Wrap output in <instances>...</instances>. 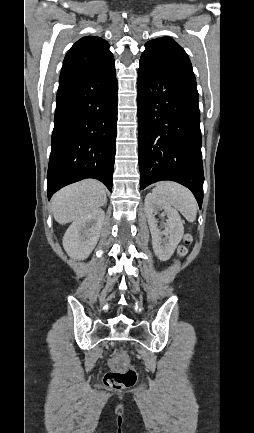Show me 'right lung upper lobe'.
<instances>
[{
  "label": "right lung upper lobe",
  "instance_id": "1",
  "mask_svg": "<svg viewBox=\"0 0 254 433\" xmlns=\"http://www.w3.org/2000/svg\"><path fill=\"white\" fill-rule=\"evenodd\" d=\"M114 62L107 41L87 36L78 40L67 52L60 77L103 69Z\"/></svg>",
  "mask_w": 254,
  "mask_h": 433
}]
</instances>
